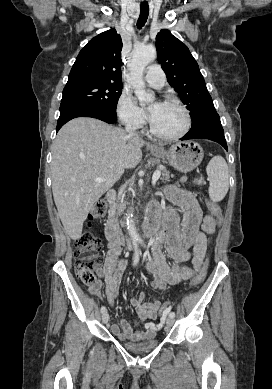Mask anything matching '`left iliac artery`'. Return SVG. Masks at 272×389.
Wrapping results in <instances>:
<instances>
[{
  "instance_id": "1",
  "label": "left iliac artery",
  "mask_w": 272,
  "mask_h": 389,
  "mask_svg": "<svg viewBox=\"0 0 272 389\" xmlns=\"http://www.w3.org/2000/svg\"><path fill=\"white\" fill-rule=\"evenodd\" d=\"M169 316L174 318L175 317V313L174 312H170Z\"/></svg>"
}]
</instances>
